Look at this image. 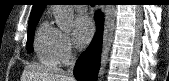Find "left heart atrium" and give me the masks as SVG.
<instances>
[{
    "instance_id": "left-heart-atrium-1",
    "label": "left heart atrium",
    "mask_w": 169,
    "mask_h": 81,
    "mask_svg": "<svg viewBox=\"0 0 169 81\" xmlns=\"http://www.w3.org/2000/svg\"><path fill=\"white\" fill-rule=\"evenodd\" d=\"M92 32V22L87 16L81 15L75 19L73 37L78 46H85L90 41Z\"/></svg>"
}]
</instances>
